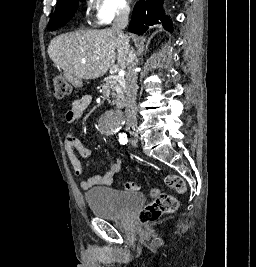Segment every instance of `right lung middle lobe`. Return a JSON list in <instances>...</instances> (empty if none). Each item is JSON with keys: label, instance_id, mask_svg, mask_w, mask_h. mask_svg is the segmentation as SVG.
Returning a JSON list of instances; mask_svg holds the SVG:
<instances>
[{"label": "right lung middle lobe", "instance_id": "right-lung-middle-lobe-1", "mask_svg": "<svg viewBox=\"0 0 256 267\" xmlns=\"http://www.w3.org/2000/svg\"><path fill=\"white\" fill-rule=\"evenodd\" d=\"M79 0H61L57 2L54 15L51 17L48 29L56 30L58 27L63 26L74 15ZM84 1V0H80Z\"/></svg>", "mask_w": 256, "mask_h": 267}]
</instances>
